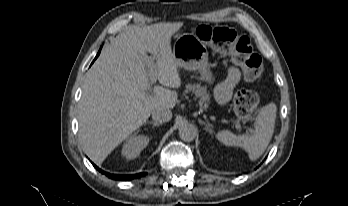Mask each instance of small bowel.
Listing matches in <instances>:
<instances>
[{"instance_id":"small-bowel-1","label":"small bowel","mask_w":348,"mask_h":206,"mask_svg":"<svg viewBox=\"0 0 348 206\" xmlns=\"http://www.w3.org/2000/svg\"><path fill=\"white\" fill-rule=\"evenodd\" d=\"M241 79L240 71L236 67L227 70L225 79L216 88V99L219 104H226L232 97L235 87Z\"/></svg>"}]
</instances>
